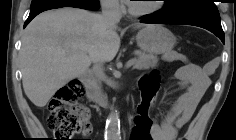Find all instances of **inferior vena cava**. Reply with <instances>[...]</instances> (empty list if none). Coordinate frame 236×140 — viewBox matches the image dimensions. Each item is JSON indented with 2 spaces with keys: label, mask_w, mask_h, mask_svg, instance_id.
<instances>
[{
  "label": "inferior vena cava",
  "mask_w": 236,
  "mask_h": 140,
  "mask_svg": "<svg viewBox=\"0 0 236 140\" xmlns=\"http://www.w3.org/2000/svg\"><path fill=\"white\" fill-rule=\"evenodd\" d=\"M102 18L105 24H116L121 19V13L119 11V4L114 0H107L102 3ZM93 72L96 80L100 83L105 78L103 71V63L95 62L93 66Z\"/></svg>",
  "instance_id": "inferior-vena-cava-1"
}]
</instances>
